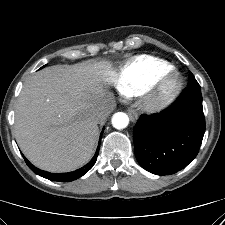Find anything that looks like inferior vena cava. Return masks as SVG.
<instances>
[{"label":"inferior vena cava","mask_w":225,"mask_h":225,"mask_svg":"<svg viewBox=\"0 0 225 225\" xmlns=\"http://www.w3.org/2000/svg\"><path fill=\"white\" fill-rule=\"evenodd\" d=\"M114 106L115 103L113 100H109L105 105H103V107L99 111H97L94 115L96 122L97 123L104 122Z\"/></svg>","instance_id":"1"}]
</instances>
